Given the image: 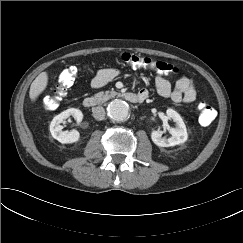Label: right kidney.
Segmentation results:
<instances>
[{
  "label": "right kidney",
  "instance_id": "ca27d5eb",
  "mask_svg": "<svg viewBox=\"0 0 243 243\" xmlns=\"http://www.w3.org/2000/svg\"><path fill=\"white\" fill-rule=\"evenodd\" d=\"M70 116H73L77 122H81L83 119V114L79 109L70 108L55 116L50 124V132L52 137L62 144L74 143L80 138V134L77 130H62L63 126L60 124Z\"/></svg>",
  "mask_w": 243,
  "mask_h": 243
}]
</instances>
